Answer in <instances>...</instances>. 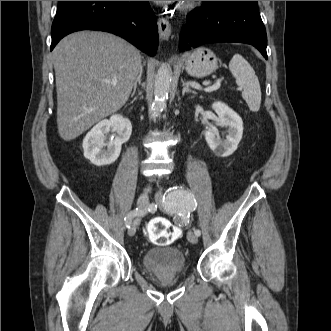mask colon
Instances as JSON below:
<instances>
[{
	"instance_id": "colon-1",
	"label": "colon",
	"mask_w": 331,
	"mask_h": 331,
	"mask_svg": "<svg viewBox=\"0 0 331 331\" xmlns=\"http://www.w3.org/2000/svg\"><path fill=\"white\" fill-rule=\"evenodd\" d=\"M145 232L150 242L158 246L168 245L180 236V229L162 217L152 219Z\"/></svg>"
}]
</instances>
